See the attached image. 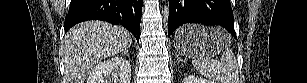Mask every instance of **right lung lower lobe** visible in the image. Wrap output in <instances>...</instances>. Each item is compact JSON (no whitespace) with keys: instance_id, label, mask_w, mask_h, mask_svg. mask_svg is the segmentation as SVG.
<instances>
[{"instance_id":"obj_1","label":"right lung lower lobe","mask_w":307,"mask_h":83,"mask_svg":"<svg viewBox=\"0 0 307 83\" xmlns=\"http://www.w3.org/2000/svg\"><path fill=\"white\" fill-rule=\"evenodd\" d=\"M143 0H71L65 30L86 20L121 24L139 41Z\"/></svg>"}]
</instances>
